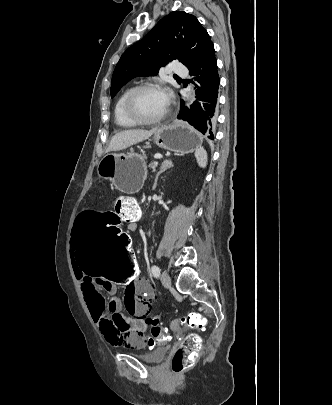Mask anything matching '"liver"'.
<instances>
[{
  "mask_svg": "<svg viewBox=\"0 0 332 405\" xmlns=\"http://www.w3.org/2000/svg\"><path fill=\"white\" fill-rule=\"evenodd\" d=\"M159 128H152L150 130L136 129V130H123L115 134L109 145L108 151H119L126 149L134 144L142 142L151 137Z\"/></svg>",
  "mask_w": 332,
  "mask_h": 405,
  "instance_id": "liver-1",
  "label": "liver"
}]
</instances>
